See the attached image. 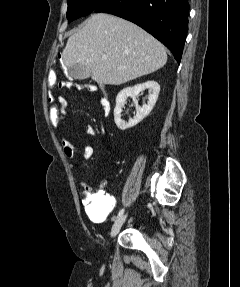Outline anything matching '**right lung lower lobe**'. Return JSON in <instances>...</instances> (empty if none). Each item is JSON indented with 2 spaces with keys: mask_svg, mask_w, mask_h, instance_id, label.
Here are the masks:
<instances>
[{
  "mask_svg": "<svg viewBox=\"0 0 240 287\" xmlns=\"http://www.w3.org/2000/svg\"><path fill=\"white\" fill-rule=\"evenodd\" d=\"M95 12L137 24L170 49L180 63L188 32V0H107Z\"/></svg>",
  "mask_w": 240,
  "mask_h": 287,
  "instance_id": "1",
  "label": "right lung lower lobe"
}]
</instances>
